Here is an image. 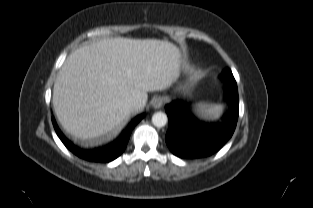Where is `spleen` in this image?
<instances>
[{
    "mask_svg": "<svg viewBox=\"0 0 313 208\" xmlns=\"http://www.w3.org/2000/svg\"><path fill=\"white\" fill-rule=\"evenodd\" d=\"M223 110H224L223 106H217L214 109L206 113H203L201 117L206 118V119H216L222 114Z\"/></svg>",
    "mask_w": 313,
    "mask_h": 208,
    "instance_id": "3e777b00",
    "label": "spleen"
}]
</instances>
